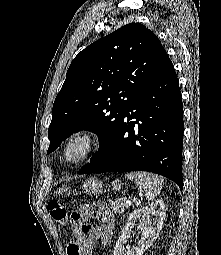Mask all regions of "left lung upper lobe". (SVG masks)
<instances>
[{
  "label": "left lung upper lobe",
  "mask_w": 221,
  "mask_h": 255,
  "mask_svg": "<svg viewBox=\"0 0 221 255\" xmlns=\"http://www.w3.org/2000/svg\"><path fill=\"white\" fill-rule=\"evenodd\" d=\"M165 55L158 37L140 23L127 24L82 50L54 101L47 153L86 130L98 136V154Z\"/></svg>",
  "instance_id": "5c2ea615"
}]
</instances>
